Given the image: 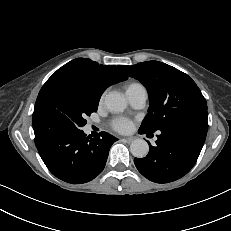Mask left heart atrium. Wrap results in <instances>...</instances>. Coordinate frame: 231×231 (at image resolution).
Instances as JSON below:
<instances>
[{
  "label": "left heart atrium",
  "instance_id": "left-heart-atrium-1",
  "mask_svg": "<svg viewBox=\"0 0 231 231\" xmlns=\"http://www.w3.org/2000/svg\"><path fill=\"white\" fill-rule=\"evenodd\" d=\"M110 125L114 130L124 133L132 129L133 122L126 117H116L111 121Z\"/></svg>",
  "mask_w": 231,
  "mask_h": 231
}]
</instances>
